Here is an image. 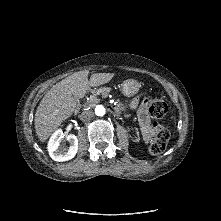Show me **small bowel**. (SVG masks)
<instances>
[{"instance_id": "1", "label": "small bowel", "mask_w": 221, "mask_h": 221, "mask_svg": "<svg viewBox=\"0 0 221 221\" xmlns=\"http://www.w3.org/2000/svg\"><path fill=\"white\" fill-rule=\"evenodd\" d=\"M132 105L137 109L142 139L144 142H149L155 136V129L153 123L151 122L148 109L145 104L139 103L136 100L132 102Z\"/></svg>"}]
</instances>
